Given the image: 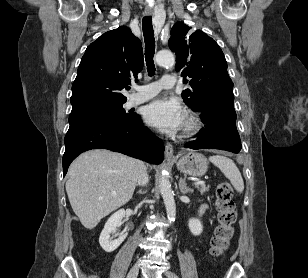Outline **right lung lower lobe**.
<instances>
[{"instance_id":"1","label":"right lung lower lobe","mask_w":308,"mask_h":278,"mask_svg":"<svg viewBox=\"0 0 308 278\" xmlns=\"http://www.w3.org/2000/svg\"><path fill=\"white\" fill-rule=\"evenodd\" d=\"M65 146L64 176L70 163L80 153L91 149H109L152 164L161 163L164 156L162 140L143 125L139 115L131 121L86 119L72 122L65 136Z\"/></svg>"}]
</instances>
